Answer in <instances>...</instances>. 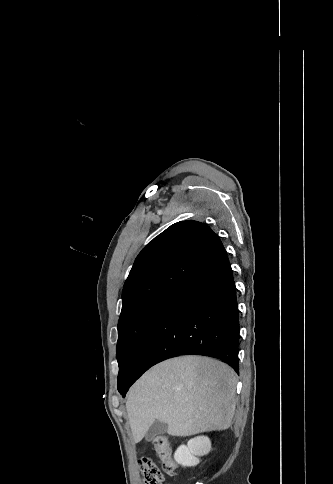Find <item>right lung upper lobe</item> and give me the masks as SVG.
Segmentation results:
<instances>
[{
	"label": "right lung upper lobe",
	"instance_id": "cb5924a9",
	"mask_svg": "<svg viewBox=\"0 0 333 484\" xmlns=\"http://www.w3.org/2000/svg\"><path fill=\"white\" fill-rule=\"evenodd\" d=\"M225 255L206 224L187 220L171 225L137 256L123 288L121 315L159 293L174 292Z\"/></svg>",
	"mask_w": 333,
	"mask_h": 484
}]
</instances>
